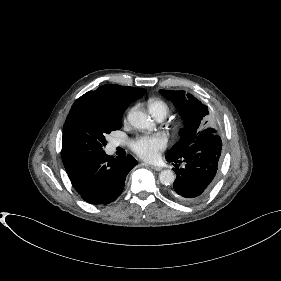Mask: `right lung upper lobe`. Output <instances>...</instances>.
I'll list each match as a JSON object with an SVG mask.
<instances>
[{
    "instance_id": "right-lung-upper-lobe-1",
    "label": "right lung upper lobe",
    "mask_w": 281,
    "mask_h": 281,
    "mask_svg": "<svg viewBox=\"0 0 281 281\" xmlns=\"http://www.w3.org/2000/svg\"><path fill=\"white\" fill-rule=\"evenodd\" d=\"M145 92V89L114 84L101 86L95 91L85 93L84 96L92 97L114 109L125 111L130 103L141 98Z\"/></svg>"
}]
</instances>
